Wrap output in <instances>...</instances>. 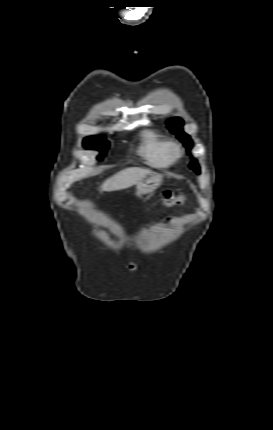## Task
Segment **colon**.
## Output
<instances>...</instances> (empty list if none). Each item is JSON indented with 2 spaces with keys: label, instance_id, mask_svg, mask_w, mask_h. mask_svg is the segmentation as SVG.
Returning <instances> with one entry per match:
<instances>
[{
  "label": "colon",
  "instance_id": "colon-1",
  "mask_svg": "<svg viewBox=\"0 0 273 430\" xmlns=\"http://www.w3.org/2000/svg\"><path fill=\"white\" fill-rule=\"evenodd\" d=\"M162 201L166 205L181 204L184 202V197L181 195H174L169 191H165L162 193Z\"/></svg>",
  "mask_w": 273,
  "mask_h": 430
}]
</instances>
